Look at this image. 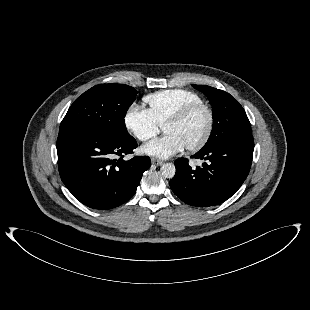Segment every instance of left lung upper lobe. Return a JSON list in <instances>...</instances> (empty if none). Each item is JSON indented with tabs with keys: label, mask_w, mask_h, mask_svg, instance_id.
Listing matches in <instances>:
<instances>
[{
	"label": "left lung upper lobe",
	"mask_w": 310,
	"mask_h": 310,
	"mask_svg": "<svg viewBox=\"0 0 310 310\" xmlns=\"http://www.w3.org/2000/svg\"><path fill=\"white\" fill-rule=\"evenodd\" d=\"M193 87L208 97L213 111V129L201 150L251 134L249 119L235 98L225 91L210 86L193 85Z\"/></svg>",
	"instance_id": "1"
}]
</instances>
